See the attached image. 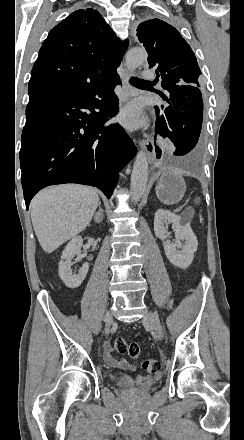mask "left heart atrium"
Wrapping results in <instances>:
<instances>
[{"mask_svg":"<svg viewBox=\"0 0 244 440\" xmlns=\"http://www.w3.org/2000/svg\"><path fill=\"white\" fill-rule=\"evenodd\" d=\"M118 119L128 127H137L142 124L141 104L133 102L127 105L119 114Z\"/></svg>","mask_w":244,"mask_h":440,"instance_id":"39dd6f15","label":"left heart atrium"}]
</instances>
